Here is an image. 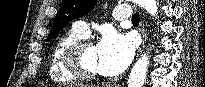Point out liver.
I'll use <instances>...</instances> for the list:
<instances>
[{
	"mask_svg": "<svg viewBox=\"0 0 205 87\" xmlns=\"http://www.w3.org/2000/svg\"><path fill=\"white\" fill-rule=\"evenodd\" d=\"M69 87H74V86H69ZM75 87H82L81 85L75 86Z\"/></svg>",
	"mask_w": 205,
	"mask_h": 87,
	"instance_id": "6515ba94",
	"label": "liver"
}]
</instances>
